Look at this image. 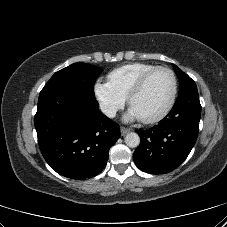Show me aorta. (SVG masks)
<instances>
[{"instance_id": "762f6f07", "label": "aorta", "mask_w": 227, "mask_h": 227, "mask_svg": "<svg viewBox=\"0 0 227 227\" xmlns=\"http://www.w3.org/2000/svg\"><path fill=\"white\" fill-rule=\"evenodd\" d=\"M125 143L130 148H136L140 144V137L137 133L130 132L125 136Z\"/></svg>"}]
</instances>
